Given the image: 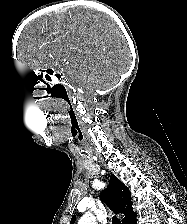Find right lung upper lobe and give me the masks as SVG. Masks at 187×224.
<instances>
[{"label":"right lung upper lobe","instance_id":"obj_1","mask_svg":"<svg viewBox=\"0 0 187 224\" xmlns=\"http://www.w3.org/2000/svg\"><path fill=\"white\" fill-rule=\"evenodd\" d=\"M101 198L116 213H123V224H130L136 218V213L132 208V201L129 189L113 174H111L108 187L102 191ZM75 215L72 217L70 224H74Z\"/></svg>","mask_w":187,"mask_h":224}]
</instances>
